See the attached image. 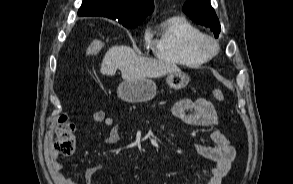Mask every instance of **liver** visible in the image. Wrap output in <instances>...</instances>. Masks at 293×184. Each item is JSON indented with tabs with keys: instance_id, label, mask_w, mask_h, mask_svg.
<instances>
[{
	"instance_id": "liver-1",
	"label": "liver",
	"mask_w": 293,
	"mask_h": 184,
	"mask_svg": "<svg viewBox=\"0 0 293 184\" xmlns=\"http://www.w3.org/2000/svg\"><path fill=\"white\" fill-rule=\"evenodd\" d=\"M117 69L121 71L124 80L161 77L180 71L174 63L142 57L132 48L123 45L109 48L101 63L100 72L113 76Z\"/></svg>"
}]
</instances>
